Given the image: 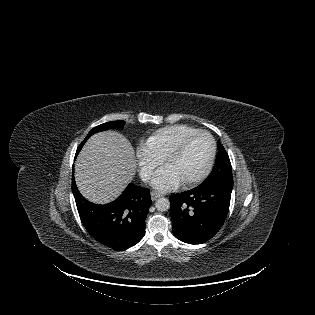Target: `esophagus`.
<instances>
[{
  "mask_svg": "<svg viewBox=\"0 0 315 315\" xmlns=\"http://www.w3.org/2000/svg\"><path fill=\"white\" fill-rule=\"evenodd\" d=\"M161 196H162V194L159 193V192H157V191H152V192H151V199H152L153 201L156 200L157 198L161 197Z\"/></svg>",
  "mask_w": 315,
  "mask_h": 315,
  "instance_id": "34e87169",
  "label": "esophagus"
}]
</instances>
